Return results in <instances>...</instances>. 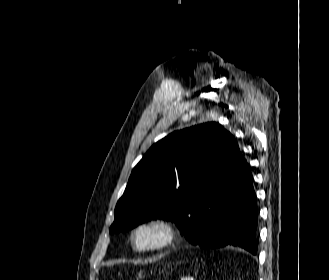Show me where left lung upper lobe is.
<instances>
[{"instance_id": "1", "label": "left lung upper lobe", "mask_w": 329, "mask_h": 280, "mask_svg": "<svg viewBox=\"0 0 329 280\" xmlns=\"http://www.w3.org/2000/svg\"><path fill=\"white\" fill-rule=\"evenodd\" d=\"M237 153L235 138L215 122L169 134L133 169L110 233L127 231L149 218L171 220L179 228L197 223L202 202L231 180Z\"/></svg>"}]
</instances>
